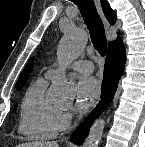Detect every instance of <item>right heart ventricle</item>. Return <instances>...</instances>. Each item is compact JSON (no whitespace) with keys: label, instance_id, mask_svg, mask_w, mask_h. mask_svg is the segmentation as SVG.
<instances>
[{"label":"right heart ventricle","instance_id":"1","mask_svg":"<svg viewBox=\"0 0 145 147\" xmlns=\"http://www.w3.org/2000/svg\"><path fill=\"white\" fill-rule=\"evenodd\" d=\"M47 79L41 77L35 80L21 102L18 131L30 139L46 140L58 133L60 109L46 98Z\"/></svg>","mask_w":145,"mask_h":147}]
</instances>
